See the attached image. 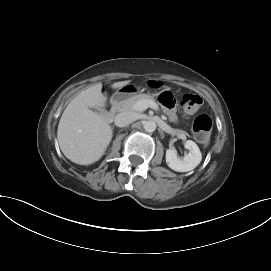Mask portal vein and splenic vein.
I'll list each match as a JSON object with an SVG mask.
<instances>
[{
    "instance_id": "obj_1",
    "label": "portal vein and splenic vein",
    "mask_w": 271,
    "mask_h": 271,
    "mask_svg": "<svg viewBox=\"0 0 271 271\" xmlns=\"http://www.w3.org/2000/svg\"><path fill=\"white\" fill-rule=\"evenodd\" d=\"M148 107L154 110L158 109L157 104L153 101L140 100V101H137L134 105V109L136 111H143V110H146Z\"/></svg>"
}]
</instances>
